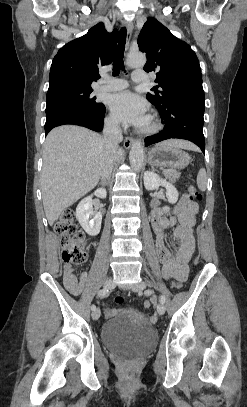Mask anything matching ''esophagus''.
Instances as JSON below:
<instances>
[{"label":"esophagus","mask_w":247,"mask_h":407,"mask_svg":"<svg viewBox=\"0 0 247 407\" xmlns=\"http://www.w3.org/2000/svg\"><path fill=\"white\" fill-rule=\"evenodd\" d=\"M123 25L126 27L127 30V36H126V50L129 48L130 40H131V34L133 30V24L131 22H126L123 21ZM133 143V138L132 137H125L124 139V147L125 148H130L131 144Z\"/></svg>","instance_id":"esophagus-1"}]
</instances>
